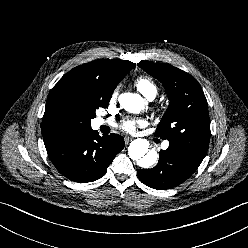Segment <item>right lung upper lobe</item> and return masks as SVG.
Returning <instances> with one entry per match:
<instances>
[{"instance_id": "1", "label": "right lung upper lobe", "mask_w": 248, "mask_h": 248, "mask_svg": "<svg viewBox=\"0 0 248 248\" xmlns=\"http://www.w3.org/2000/svg\"><path fill=\"white\" fill-rule=\"evenodd\" d=\"M135 67V63L124 60L98 59L79 65L53 87L48 99L79 87H93L103 95H112L117 84ZM47 99V100H48ZM43 137L57 131L41 127Z\"/></svg>"}]
</instances>
